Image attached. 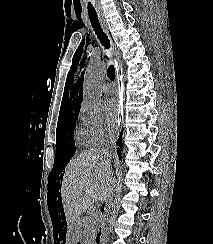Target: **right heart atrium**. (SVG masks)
Wrapping results in <instances>:
<instances>
[{
    "instance_id": "1",
    "label": "right heart atrium",
    "mask_w": 213,
    "mask_h": 244,
    "mask_svg": "<svg viewBox=\"0 0 213 244\" xmlns=\"http://www.w3.org/2000/svg\"><path fill=\"white\" fill-rule=\"evenodd\" d=\"M80 117L84 124L85 143L91 146L101 144L109 133L102 113L96 108L84 105Z\"/></svg>"
}]
</instances>
